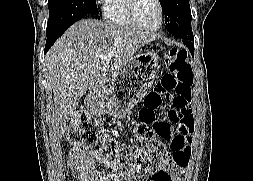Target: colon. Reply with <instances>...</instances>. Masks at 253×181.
<instances>
[{
	"label": "colon",
	"instance_id": "5ec220e1",
	"mask_svg": "<svg viewBox=\"0 0 253 181\" xmlns=\"http://www.w3.org/2000/svg\"><path fill=\"white\" fill-rule=\"evenodd\" d=\"M155 45L157 49L161 48L159 41ZM165 52L170 55L171 72L165 74L146 96L135 127L138 139L146 145L145 149L131 150L111 139L101 124L86 112H78L74 116L68 131L70 143L81 151L94 154L108 166L138 174L170 161L178 137L172 125L191 116L193 73L187 60V50L165 47ZM164 101L172 107L168 112V121L156 118Z\"/></svg>",
	"mask_w": 253,
	"mask_h": 181
}]
</instances>
